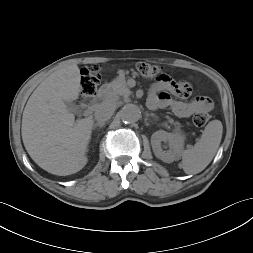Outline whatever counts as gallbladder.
Masks as SVG:
<instances>
[{"instance_id":"1","label":"gallbladder","mask_w":253,"mask_h":253,"mask_svg":"<svg viewBox=\"0 0 253 253\" xmlns=\"http://www.w3.org/2000/svg\"><path fill=\"white\" fill-rule=\"evenodd\" d=\"M65 104L69 112L76 113L78 111V106L74 102L66 101Z\"/></svg>"}]
</instances>
